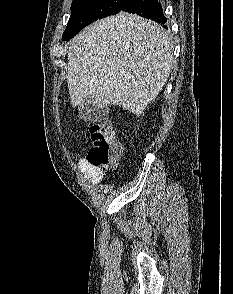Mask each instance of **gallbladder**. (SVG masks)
<instances>
[{
	"mask_svg": "<svg viewBox=\"0 0 233 294\" xmlns=\"http://www.w3.org/2000/svg\"><path fill=\"white\" fill-rule=\"evenodd\" d=\"M79 112L86 121H97L99 120L98 106L95 104L93 98L87 96L79 105Z\"/></svg>",
	"mask_w": 233,
	"mask_h": 294,
	"instance_id": "1",
	"label": "gallbladder"
}]
</instances>
